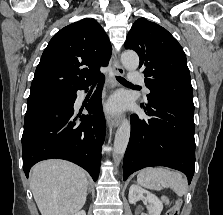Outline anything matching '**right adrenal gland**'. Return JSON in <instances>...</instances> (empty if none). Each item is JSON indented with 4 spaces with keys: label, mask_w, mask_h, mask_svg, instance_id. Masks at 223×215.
<instances>
[{
    "label": "right adrenal gland",
    "mask_w": 223,
    "mask_h": 215,
    "mask_svg": "<svg viewBox=\"0 0 223 215\" xmlns=\"http://www.w3.org/2000/svg\"><path fill=\"white\" fill-rule=\"evenodd\" d=\"M87 193H91V187H90V185H88V191H87Z\"/></svg>",
    "instance_id": "obj_1"
}]
</instances>
